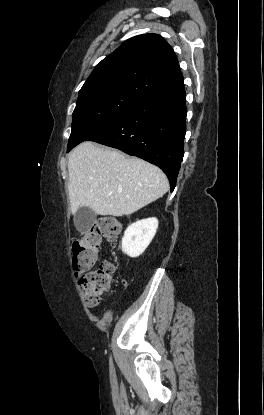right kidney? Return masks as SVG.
<instances>
[{
    "mask_svg": "<svg viewBox=\"0 0 264 415\" xmlns=\"http://www.w3.org/2000/svg\"><path fill=\"white\" fill-rule=\"evenodd\" d=\"M158 228L157 218L139 220L125 230L122 238V251L135 258L148 247Z\"/></svg>",
    "mask_w": 264,
    "mask_h": 415,
    "instance_id": "obj_1",
    "label": "right kidney"
}]
</instances>
